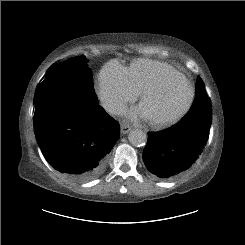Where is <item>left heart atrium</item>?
<instances>
[{"instance_id":"39dd6f15","label":"left heart atrium","mask_w":245,"mask_h":245,"mask_svg":"<svg viewBox=\"0 0 245 245\" xmlns=\"http://www.w3.org/2000/svg\"><path fill=\"white\" fill-rule=\"evenodd\" d=\"M128 117L133 121L147 118L142 107H136L130 110L128 113Z\"/></svg>"}]
</instances>
